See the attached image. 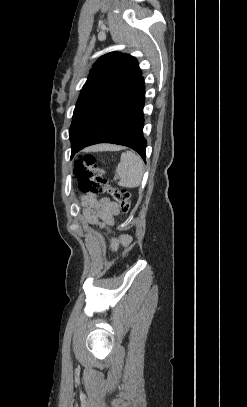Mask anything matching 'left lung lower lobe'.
<instances>
[{"mask_svg": "<svg viewBox=\"0 0 247 407\" xmlns=\"http://www.w3.org/2000/svg\"><path fill=\"white\" fill-rule=\"evenodd\" d=\"M144 101L145 87L141 75L104 109L76 146L75 153L89 145L113 143L130 147L145 159Z\"/></svg>", "mask_w": 247, "mask_h": 407, "instance_id": "1", "label": "left lung lower lobe"}]
</instances>
